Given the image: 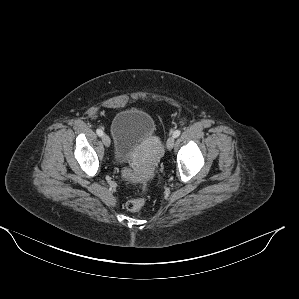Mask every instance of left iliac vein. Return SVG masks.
Masks as SVG:
<instances>
[{
	"label": "left iliac vein",
	"mask_w": 299,
	"mask_h": 299,
	"mask_svg": "<svg viewBox=\"0 0 299 299\" xmlns=\"http://www.w3.org/2000/svg\"><path fill=\"white\" fill-rule=\"evenodd\" d=\"M174 144H175V137H173V136L169 137L167 140V144H166L167 148L169 150H171L173 148Z\"/></svg>",
	"instance_id": "obj_1"
}]
</instances>
